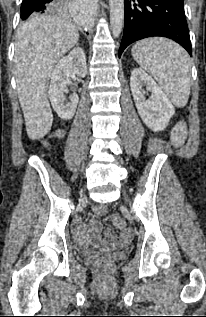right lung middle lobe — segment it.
I'll return each mask as SVG.
<instances>
[{
	"instance_id": "dd1d6c3e",
	"label": "right lung middle lobe",
	"mask_w": 206,
	"mask_h": 317,
	"mask_svg": "<svg viewBox=\"0 0 206 317\" xmlns=\"http://www.w3.org/2000/svg\"><path fill=\"white\" fill-rule=\"evenodd\" d=\"M66 1L67 0H57L55 5L48 11L56 12V11L62 10L65 7ZM30 15H37V13H35V9L32 6H30L29 3H26L25 0H23L22 5H21V19L25 20Z\"/></svg>"
}]
</instances>
